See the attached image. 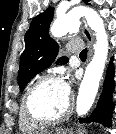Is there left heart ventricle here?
<instances>
[{
  "mask_svg": "<svg viewBox=\"0 0 116 134\" xmlns=\"http://www.w3.org/2000/svg\"><path fill=\"white\" fill-rule=\"evenodd\" d=\"M69 102L70 98L65 95L61 81H50L35 91L31 107L39 116L55 117L67 110Z\"/></svg>",
  "mask_w": 116,
  "mask_h": 134,
  "instance_id": "b2bd125f",
  "label": "left heart ventricle"
}]
</instances>
